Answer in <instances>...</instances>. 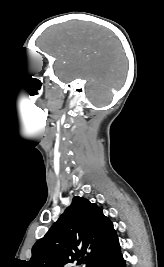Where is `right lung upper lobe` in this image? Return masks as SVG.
I'll use <instances>...</instances> for the list:
<instances>
[{
	"label": "right lung upper lobe",
	"mask_w": 164,
	"mask_h": 267,
	"mask_svg": "<svg viewBox=\"0 0 164 267\" xmlns=\"http://www.w3.org/2000/svg\"><path fill=\"white\" fill-rule=\"evenodd\" d=\"M112 222L101 208L83 197H74L71 205L32 248L29 267H66L85 257L86 267L102 256L119 249Z\"/></svg>",
	"instance_id": "right-lung-upper-lobe-1"
}]
</instances>
